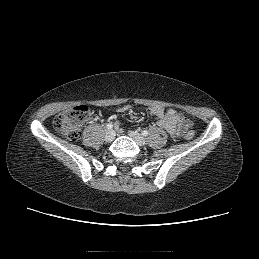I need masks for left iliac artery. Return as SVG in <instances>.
I'll return each instance as SVG.
<instances>
[{
    "label": "left iliac artery",
    "instance_id": "44dca946",
    "mask_svg": "<svg viewBox=\"0 0 259 259\" xmlns=\"http://www.w3.org/2000/svg\"><path fill=\"white\" fill-rule=\"evenodd\" d=\"M142 135H143V136H147V135H148V131H147V130H144V131L142 132Z\"/></svg>",
    "mask_w": 259,
    "mask_h": 259
}]
</instances>
